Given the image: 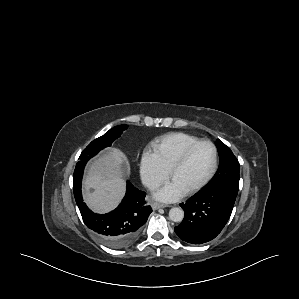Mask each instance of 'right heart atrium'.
Here are the masks:
<instances>
[{"mask_svg":"<svg viewBox=\"0 0 299 299\" xmlns=\"http://www.w3.org/2000/svg\"><path fill=\"white\" fill-rule=\"evenodd\" d=\"M168 171L160 164L155 154L144 151L140 159V176L148 188H155L168 178Z\"/></svg>","mask_w":299,"mask_h":299,"instance_id":"right-heart-atrium-1","label":"right heart atrium"}]
</instances>
